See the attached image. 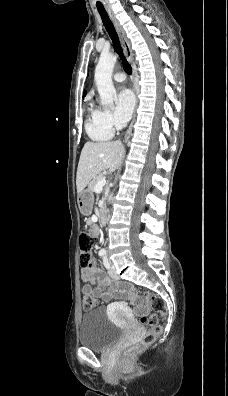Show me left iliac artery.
I'll use <instances>...</instances> for the list:
<instances>
[{
  "mask_svg": "<svg viewBox=\"0 0 228 396\" xmlns=\"http://www.w3.org/2000/svg\"><path fill=\"white\" fill-rule=\"evenodd\" d=\"M103 263L106 268H109V263H108V259H107L106 255L103 256Z\"/></svg>",
  "mask_w": 228,
  "mask_h": 396,
  "instance_id": "left-iliac-artery-1",
  "label": "left iliac artery"
}]
</instances>
